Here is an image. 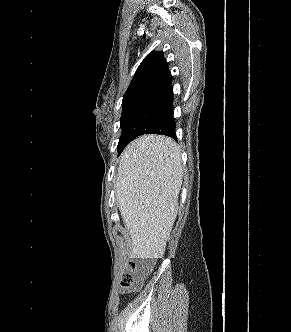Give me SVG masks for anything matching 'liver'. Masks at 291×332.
Listing matches in <instances>:
<instances>
[{
	"label": "liver",
	"mask_w": 291,
	"mask_h": 332,
	"mask_svg": "<svg viewBox=\"0 0 291 332\" xmlns=\"http://www.w3.org/2000/svg\"><path fill=\"white\" fill-rule=\"evenodd\" d=\"M181 150L171 138L144 135L123 151L116 199L132 240V257H163L177 215Z\"/></svg>",
	"instance_id": "6515ba94"
}]
</instances>
